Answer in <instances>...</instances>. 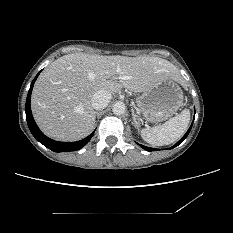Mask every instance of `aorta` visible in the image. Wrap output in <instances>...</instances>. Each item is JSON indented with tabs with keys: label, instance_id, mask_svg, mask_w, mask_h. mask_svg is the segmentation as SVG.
<instances>
[{
	"label": "aorta",
	"instance_id": "obj_1",
	"mask_svg": "<svg viewBox=\"0 0 233 233\" xmlns=\"http://www.w3.org/2000/svg\"><path fill=\"white\" fill-rule=\"evenodd\" d=\"M126 107L123 102H117L113 105L112 112L115 115H122L125 113Z\"/></svg>",
	"mask_w": 233,
	"mask_h": 233
}]
</instances>
